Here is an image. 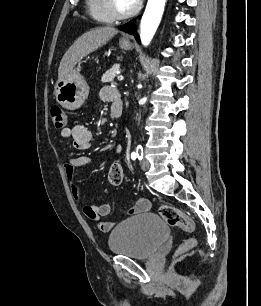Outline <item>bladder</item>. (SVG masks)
Instances as JSON below:
<instances>
[{
    "label": "bladder",
    "instance_id": "obj_1",
    "mask_svg": "<svg viewBox=\"0 0 261 306\" xmlns=\"http://www.w3.org/2000/svg\"><path fill=\"white\" fill-rule=\"evenodd\" d=\"M169 234L170 229L162 217L143 213L117 225L109 235L108 245L115 255L146 259L159 249Z\"/></svg>",
    "mask_w": 261,
    "mask_h": 306
}]
</instances>
